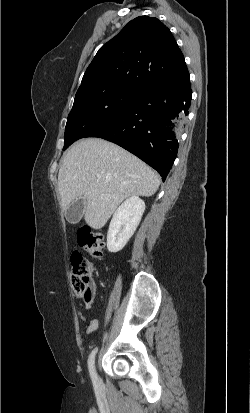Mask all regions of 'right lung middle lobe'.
Returning <instances> with one entry per match:
<instances>
[{"instance_id": "obj_1", "label": "right lung middle lobe", "mask_w": 250, "mask_h": 413, "mask_svg": "<svg viewBox=\"0 0 250 413\" xmlns=\"http://www.w3.org/2000/svg\"><path fill=\"white\" fill-rule=\"evenodd\" d=\"M141 91L130 86H98L77 91L68 115L64 148L113 119Z\"/></svg>"}]
</instances>
